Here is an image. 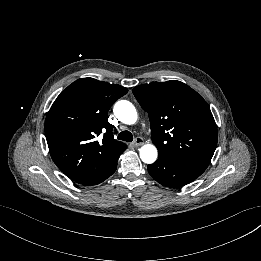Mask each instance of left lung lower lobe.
Listing matches in <instances>:
<instances>
[{"mask_svg":"<svg viewBox=\"0 0 261 261\" xmlns=\"http://www.w3.org/2000/svg\"><path fill=\"white\" fill-rule=\"evenodd\" d=\"M205 169V167L184 160L164 157H158L155 163L148 165V172L151 177L161 185L172 188L181 187L192 182Z\"/></svg>","mask_w":261,"mask_h":261,"instance_id":"1","label":"left lung lower lobe"}]
</instances>
